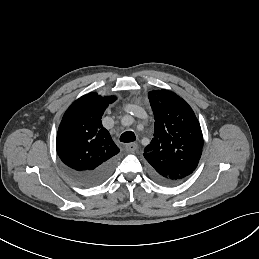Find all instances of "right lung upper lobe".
Listing matches in <instances>:
<instances>
[{
	"instance_id": "obj_1",
	"label": "right lung upper lobe",
	"mask_w": 259,
	"mask_h": 259,
	"mask_svg": "<svg viewBox=\"0 0 259 259\" xmlns=\"http://www.w3.org/2000/svg\"><path fill=\"white\" fill-rule=\"evenodd\" d=\"M115 99L92 92L77 99L65 112L56 149L67 167L76 171L93 170L119 153L101 121L108 104Z\"/></svg>"
}]
</instances>
